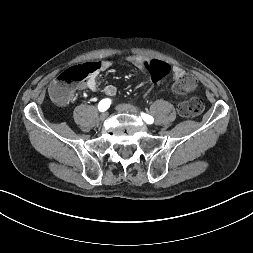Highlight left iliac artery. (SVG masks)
<instances>
[{"label": "left iliac artery", "mask_w": 253, "mask_h": 253, "mask_svg": "<svg viewBox=\"0 0 253 253\" xmlns=\"http://www.w3.org/2000/svg\"><path fill=\"white\" fill-rule=\"evenodd\" d=\"M141 116L147 124H152L154 122V118L146 113H141Z\"/></svg>", "instance_id": "left-iliac-artery-1"}]
</instances>
